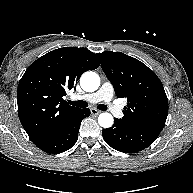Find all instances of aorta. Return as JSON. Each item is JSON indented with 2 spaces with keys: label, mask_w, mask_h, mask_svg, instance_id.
Here are the masks:
<instances>
[{
  "label": "aorta",
  "mask_w": 193,
  "mask_h": 193,
  "mask_svg": "<svg viewBox=\"0 0 193 193\" xmlns=\"http://www.w3.org/2000/svg\"><path fill=\"white\" fill-rule=\"evenodd\" d=\"M81 88L86 92H94L100 86V77L92 71L85 72L80 78ZM114 119L110 113H101L98 117V123L103 128H110Z\"/></svg>",
  "instance_id": "1"
}]
</instances>
